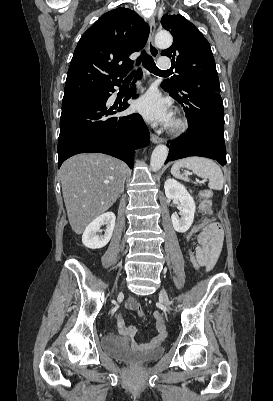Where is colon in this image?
Segmentation results:
<instances>
[{
    "mask_svg": "<svg viewBox=\"0 0 273 401\" xmlns=\"http://www.w3.org/2000/svg\"><path fill=\"white\" fill-rule=\"evenodd\" d=\"M206 232H201L200 233V240L201 241H218L219 240V234L221 232V226L219 223L215 222L212 219H208L206 222ZM137 314L139 316H143L145 314V307L143 304H138L137 307Z\"/></svg>",
    "mask_w": 273,
    "mask_h": 401,
    "instance_id": "obj_1",
    "label": "colon"
}]
</instances>
